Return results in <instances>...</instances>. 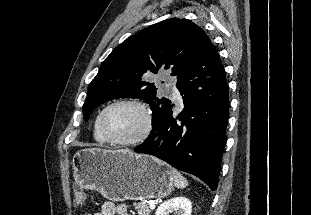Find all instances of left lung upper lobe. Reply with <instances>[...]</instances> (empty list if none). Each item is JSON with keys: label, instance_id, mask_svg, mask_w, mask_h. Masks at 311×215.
Returning <instances> with one entry per match:
<instances>
[{"label": "left lung upper lobe", "instance_id": "obj_1", "mask_svg": "<svg viewBox=\"0 0 311 215\" xmlns=\"http://www.w3.org/2000/svg\"><path fill=\"white\" fill-rule=\"evenodd\" d=\"M205 36L190 20L171 18L127 38L103 61L90 83L83 105L85 121L106 101L142 98L150 105L153 123L169 100L157 97L152 77L163 69L177 77L196 55Z\"/></svg>", "mask_w": 311, "mask_h": 215}]
</instances>
